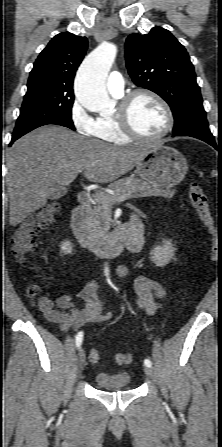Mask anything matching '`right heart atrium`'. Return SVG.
Listing matches in <instances>:
<instances>
[{
    "instance_id": "right-heart-atrium-1",
    "label": "right heart atrium",
    "mask_w": 222,
    "mask_h": 447,
    "mask_svg": "<svg viewBox=\"0 0 222 447\" xmlns=\"http://www.w3.org/2000/svg\"><path fill=\"white\" fill-rule=\"evenodd\" d=\"M70 118L75 130L82 135H93L95 120L78 103H74L70 110Z\"/></svg>"
}]
</instances>
